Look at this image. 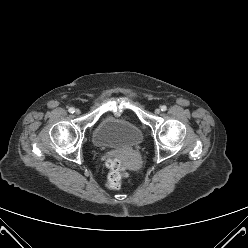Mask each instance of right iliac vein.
<instances>
[{"mask_svg": "<svg viewBox=\"0 0 248 248\" xmlns=\"http://www.w3.org/2000/svg\"><path fill=\"white\" fill-rule=\"evenodd\" d=\"M81 113V111L79 109L75 110V114L79 115Z\"/></svg>", "mask_w": 248, "mask_h": 248, "instance_id": "right-iliac-vein-1", "label": "right iliac vein"}]
</instances>
